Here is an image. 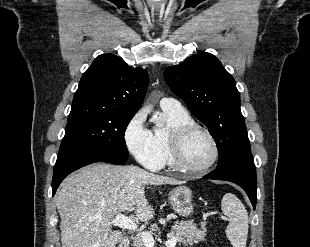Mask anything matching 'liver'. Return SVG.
<instances>
[{"label":"liver","mask_w":310,"mask_h":247,"mask_svg":"<svg viewBox=\"0 0 310 247\" xmlns=\"http://www.w3.org/2000/svg\"><path fill=\"white\" fill-rule=\"evenodd\" d=\"M180 183L133 165L97 163L71 174L55 195L62 247H115L123 236L110 225L116 214L134 211L146 222L154 209L145 186Z\"/></svg>","instance_id":"6515ba94"}]
</instances>
